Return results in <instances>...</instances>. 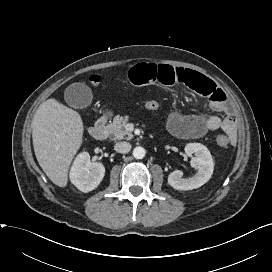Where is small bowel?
Wrapping results in <instances>:
<instances>
[{
  "instance_id": "1",
  "label": "small bowel",
  "mask_w": 272,
  "mask_h": 272,
  "mask_svg": "<svg viewBox=\"0 0 272 272\" xmlns=\"http://www.w3.org/2000/svg\"><path fill=\"white\" fill-rule=\"evenodd\" d=\"M130 81L137 86L162 84L187 87L209 99L210 108L218 115H184L170 110L167 114L168 131L183 139L199 138L210 131L222 129L232 145L237 141V128L233 109L223 90L211 79L190 69L165 64L140 63L129 72Z\"/></svg>"
}]
</instances>
